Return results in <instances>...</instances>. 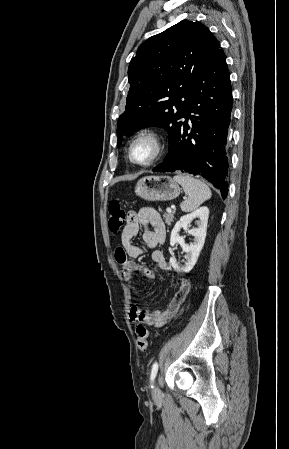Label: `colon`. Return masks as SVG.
<instances>
[{
    "instance_id": "colon-1",
    "label": "colon",
    "mask_w": 289,
    "mask_h": 449,
    "mask_svg": "<svg viewBox=\"0 0 289 449\" xmlns=\"http://www.w3.org/2000/svg\"><path fill=\"white\" fill-rule=\"evenodd\" d=\"M109 213V229L113 233H117L126 221V214L122 205L118 201L110 202L108 206ZM137 347L145 353L148 349L149 330L144 325H138L136 328Z\"/></svg>"
}]
</instances>
